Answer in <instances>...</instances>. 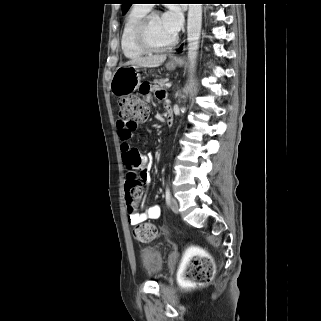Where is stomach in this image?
Segmentation results:
<instances>
[{
    "instance_id": "1",
    "label": "stomach",
    "mask_w": 321,
    "mask_h": 321,
    "mask_svg": "<svg viewBox=\"0 0 321 321\" xmlns=\"http://www.w3.org/2000/svg\"><path fill=\"white\" fill-rule=\"evenodd\" d=\"M177 67V61L171 58L166 63V68L169 71ZM141 81L139 67L134 65H124L118 67L110 82V89L114 95L123 97L132 93L137 89Z\"/></svg>"
}]
</instances>
